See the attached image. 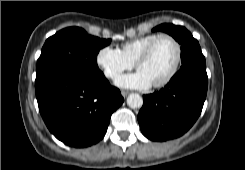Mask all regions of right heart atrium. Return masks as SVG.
<instances>
[{
	"label": "right heart atrium",
	"mask_w": 245,
	"mask_h": 170,
	"mask_svg": "<svg viewBox=\"0 0 245 170\" xmlns=\"http://www.w3.org/2000/svg\"><path fill=\"white\" fill-rule=\"evenodd\" d=\"M96 62L108 78H116L123 71L133 67V62L123 54L122 50L110 46H105L98 51Z\"/></svg>",
	"instance_id": "right-heart-atrium-1"
}]
</instances>
